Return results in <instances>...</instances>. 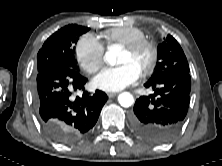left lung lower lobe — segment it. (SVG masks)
<instances>
[{
	"label": "left lung lower lobe",
	"instance_id": "obj_1",
	"mask_svg": "<svg viewBox=\"0 0 222 166\" xmlns=\"http://www.w3.org/2000/svg\"><path fill=\"white\" fill-rule=\"evenodd\" d=\"M145 87L154 93L136 100L131 125L144 140L163 144L170 142L181 130L190 103L189 73L148 80Z\"/></svg>",
	"mask_w": 222,
	"mask_h": 166
}]
</instances>
